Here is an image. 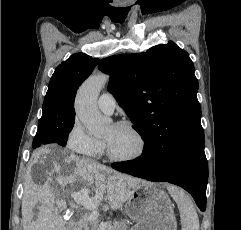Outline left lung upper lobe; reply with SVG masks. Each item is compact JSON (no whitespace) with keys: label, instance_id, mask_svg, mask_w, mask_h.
I'll return each instance as SVG.
<instances>
[{"label":"left lung upper lobe","instance_id":"obj_1","mask_svg":"<svg viewBox=\"0 0 241 230\" xmlns=\"http://www.w3.org/2000/svg\"><path fill=\"white\" fill-rule=\"evenodd\" d=\"M99 69L110 74L108 90L145 144L160 140L170 150L205 144L194 65L174 42L107 57Z\"/></svg>","mask_w":241,"mask_h":230}]
</instances>
